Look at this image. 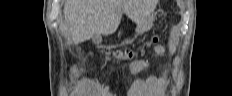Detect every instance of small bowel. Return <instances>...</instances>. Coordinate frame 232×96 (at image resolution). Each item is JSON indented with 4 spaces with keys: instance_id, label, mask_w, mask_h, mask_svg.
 <instances>
[{
    "instance_id": "small-bowel-1",
    "label": "small bowel",
    "mask_w": 232,
    "mask_h": 96,
    "mask_svg": "<svg viewBox=\"0 0 232 96\" xmlns=\"http://www.w3.org/2000/svg\"><path fill=\"white\" fill-rule=\"evenodd\" d=\"M142 67L141 63L133 65V69L138 70ZM165 80L163 78L150 76L146 78H139L130 82V96H149V95H160L164 91L162 87Z\"/></svg>"
}]
</instances>
